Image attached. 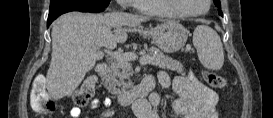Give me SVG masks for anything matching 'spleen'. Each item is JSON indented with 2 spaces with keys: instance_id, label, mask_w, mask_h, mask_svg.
I'll list each match as a JSON object with an SVG mask.
<instances>
[{
  "instance_id": "3e777b00",
  "label": "spleen",
  "mask_w": 273,
  "mask_h": 118,
  "mask_svg": "<svg viewBox=\"0 0 273 118\" xmlns=\"http://www.w3.org/2000/svg\"><path fill=\"white\" fill-rule=\"evenodd\" d=\"M193 44L201 64L209 70H220L224 64V51L218 34L212 28L199 25L193 33Z\"/></svg>"
}]
</instances>
